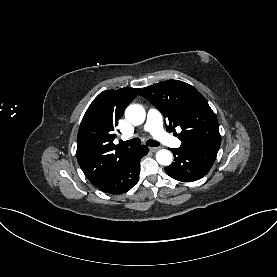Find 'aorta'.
<instances>
[{
	"mask_svg": "<svg viewBox=\"0 0 277 277\" xmlns=\"http://www.w3.org/2000/svg\"><path fill=\"white\" fill-rule=\"evenodd\" d=\"M145 116L144 108L138 104L128 106L125 111V118L133 125L142 124ZM156 160L159 164L168 166L172 162V153L169 150L161 149L156 153Z\"/></svg>",
	"mask_w": 277,
	"mask_h": 277,
	"instance_id": "aorta-1",
	"label": "aorta"
}]
</instances>
